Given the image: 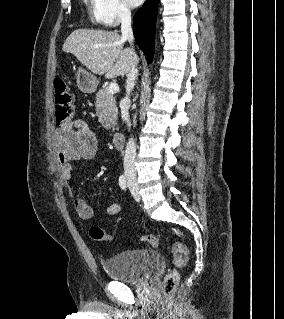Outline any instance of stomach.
I'll list each match as a JSON object with an SVG mask.
<instances>
[{
  "label": "stomach",
  "mask_w": 284,
  "mask_h": 319,
  "mask_svg": "<svg viewBox=\"0 0 284 319\" xmlns=\"http://www.w3.org/2000/svg\"><path fill=\"white\" fill-rule=\"evenodd\" d=\"M76 82L78 88L84 93L94 92L98 85L97 78L82 68L77 71Z\"/></svg>",
  "instance_id": "stomach-1"
}]
</instances>
